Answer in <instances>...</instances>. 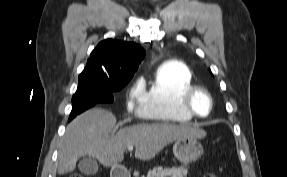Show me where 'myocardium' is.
I'll list each match as a JSON object with an SVG mask.
<instances>
[{"label": "myocardium", "mask_w": 287, "mask_h": 177, "mask_svg": "<svg viewBox=\"0 0 287 177\" xmlns=\"http://www.w3.org/2000/svg\"><path fill=\"white\" fill-rule=\"evenodd\" d=\"M198 93H203L207 96L209 100V111L206 115H200L196 112L193 106V99ZM181 107L189 113L191 116L199 118V119H204L207 118L211 115L214 107V100L211 92L206 89L205 87L202 86H192L188 90L185 91L183 94L181 100H180Z\"/></svg>", "instance_id": "1"}]
</instances>
